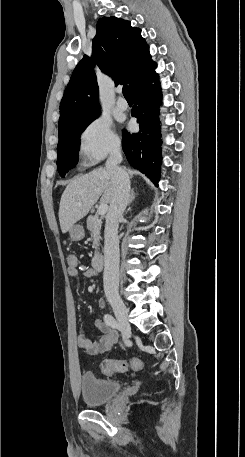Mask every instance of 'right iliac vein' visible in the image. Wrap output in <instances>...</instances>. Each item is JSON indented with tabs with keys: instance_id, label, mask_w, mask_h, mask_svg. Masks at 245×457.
<instances>
[{
	"instance_id": "1",
	"label": "right iliac vein",
	"mask_w": 245,
	"mask_h": 457,
	"mask_svg": "<svg viewBox=\"0 0 245 457\" xmlns=\"http://www.w3.org/2000/svg\"><path fill=\"white\" fill-rule=\"evenodd\" d=\"M110 304L114 310L115 316L123 327V336L124 339H126L131 334V327L128 322V309L124 302L119 298L111 299Z\"/></svg>"
}]
</instances>
